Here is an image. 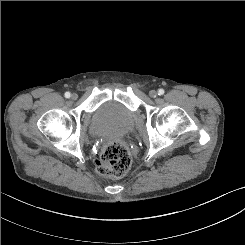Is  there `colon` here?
<instances>
[{
	"instance_id": "colon-1",
	"label": "colon",
	"mask_w": 245,
	"mask_h": 245,
	"mask_svg": "<svg viewBox=\"0 0 245 245\" xmlns=\"http://www.w3.org/2000/svg\"><path fill=\"white\" fill-rule=\"evenodd\" d=\"M98 172L107 177L120 178L131 166V156L126 145L120 141H112L102 149L96 161Z\"/></svg>"
}]
</instances>
